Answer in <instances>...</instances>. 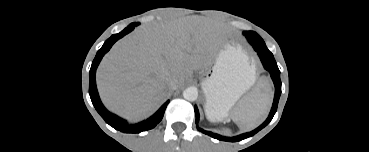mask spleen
<instances>
[{"mask_svg":"<svg viewBox=\"0 0 369 152\" xmlns=\"http://www.w3.org/2000/svg\"><path fill=\"white\" fill-rule=\"evenodd\" d=\"M272 97L271 90L264 85H260L234 108L231 112L232 120L242 129L255 128L266 118L272 103Z\"/></svg>","mask_w":369,"mask_h":152,"instance_id":"spleen-1","label":"spleen"}]
</instances>
